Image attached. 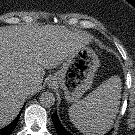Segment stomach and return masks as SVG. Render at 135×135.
<instances>
[{"label": "stomach", "instance_id": "obj_1", "mask_svg": "<svg viewBox=\"0 0 135 135\" xmlns=\"http://www.w3.org/2000/svg\"><path fill=\"white\" fill-rule=\"evenodd\" d=\"M100 66L96 52L89 46L75 51L49 80L48 85L64 91L68 102H78L91 87Z\"/></svg>", "mask_w": 135, "mask_h": 135}]
</instances>
